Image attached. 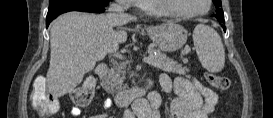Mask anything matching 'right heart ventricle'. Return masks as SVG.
Returning a JSON list of instances; mask_svg holds the SVG:
<instances>
[{
  "label": "right heart ventricle",
  "instance_id": "right-heart-ventricle-1",
  "mask_svg": "<svg viewBox=\"0 0 273 118\" xmlns=\"http://www.w3.org/2000/svg\"><path fill=\"white\" fill-rule=\"evenodd\" d=\"M139 3H140V7L146 12H152V13L161 14V15H171L170 12H167L161 9L157 1L150 0V1H142Z\"/></svg>",
  "mask_w": 273,
  "mask_h": 118
}]
</instances>
